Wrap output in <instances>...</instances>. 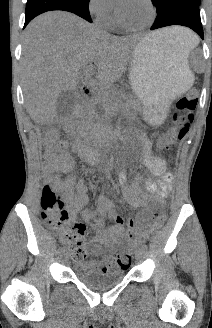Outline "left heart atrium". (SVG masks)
Here are the masks:
<instances>
[{
	"label": "left heart atrium",
	"instance_id": "left-heart-atrium-1",
	"mask_svg": "<svg viewBox=\"0 0 212 328\" xmlns=\"http://www.w3.org/2000/svg\"><path fill=\"white\" fill-rule=\"evenodd\" d=\"M116 1L121 8H124L129 3L130 0H116Z\"/></svg>",
	"mask_w": 212,
	"mask_h": 328
}]
</instances>
